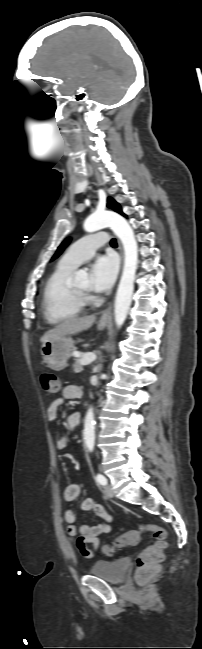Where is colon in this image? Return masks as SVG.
<instances>
[{
  "label": "colon",
  "instance_id": "obj_1",
  "mask_svg": "<svg viewBox=\"0 0 202 649\" xmlns=\"http://www.w3.org/2000/svg\"><path fill=\"white\" fill-rule=\"evenodd\" d=\"M43 389L48 393H57L61 388V380L57 374L50 371H45L40 377ZM140 532L152 533L156 539V543L147 547L139 553L136 559V576L140 583H144L151 579L160 569L163 561V550L166 547V531L154 524H141L139 530H131L119 538L112 544L106 545L103 548L104 553L111 554L116 548L132 545L138 541Z\"/></svg>",
  "mask_w": 202,
  "mask_h": 649
}]
</instances>
